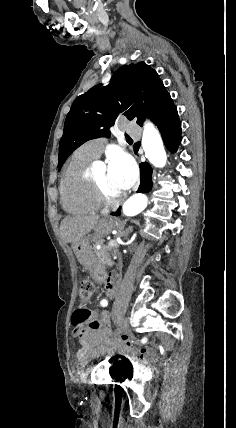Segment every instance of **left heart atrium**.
Wrapping results in <instances>:
<instances>
[{
  "label": "left heart atrium",
  "instance_id": "39dd6f15",
  "mask_svg": "<svg viewBox=\"0 0 236 428\" xmlns=\"http://www.w3.org/2000/svg\"><path fill=\"white\" fill-rule=\"evenodd\" d=\"M108 171L110 178L118 188L125 192L135 183L138 171L134 160L124 152H117L109 157Z\"/></svg>",
  "mask_w": 236,
  "mask_h": 428
}]
</instances>
